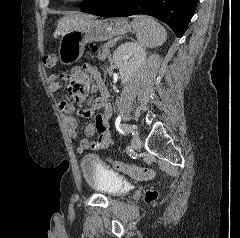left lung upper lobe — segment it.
<instances>
[{
	"label": "left lung upper lobe",
	"instance_id": "5c2ea615",
	"mask_svg": "<svg viewBox=\"0 0 240 238\" xmlns=\"http://www.w3.org/2000/svg\"><path fill=\"white\" fill-rule=\"evenodd\" d=\"M98 1H99V0H85V1L81 4L80 8H81L82 10L88 9V8L94 6Z\"/></svg>",
	"mask_w": 240,
	"mask_h": 238
}]
</instances>
